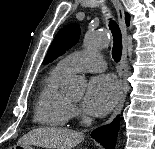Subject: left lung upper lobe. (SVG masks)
Segmentation results:
<instances>
[{
	"instance_id": "5c2ea615",
	"label": "left lung upper lobe",
	"mask_w": 155,
	"mask_h": 149,
	"mask_svg": "<svg viewBox=\"0 0 155 149\" xmlns=\"http://www.w3.org/2000/svg\"><path fill=\"white\" fill-rule=\"evenodd\" d=\"M80 28L77 24H69L63 27L55 36L43 64H48L58 56L65 53L66 50L75 45L79 39Z\"/></svg>"
}]
</instances>
